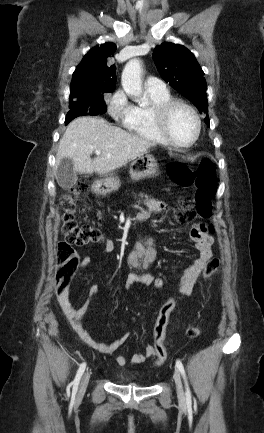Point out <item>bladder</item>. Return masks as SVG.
Returning a JSON list of instances; mask_svg holds the SVG:
<instances>
[{
	"mask_svg": "<svg viewBox=\"0 0 264 433\" xmlns=\"http://www.w3.org/2000/svg\"><path fill=\"white\" fill-rule=\"evenodd\" d=\"M119 380L121 382H130L131 379L127 377L123 372L119 373Z\"/></svg>",
	"mask_w": 264,
	"mask_h": 433,
	"instance_id": "1",
	"label": "bladder"
}]
</instances>
